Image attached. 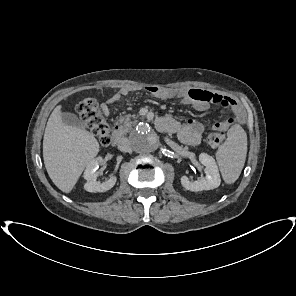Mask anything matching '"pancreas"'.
<instances>
[{
  "mask_svg": "<svg viewBox=\"0 0 296 296\" xmlns=\"http://www.w3.org/2000/svg\"><path fill=\"white\" fill-rule=\"evenodd\" d=\"M134 117L130 115L121 116L119 119L116 120V125L119 127V132L121 134H126L131 131L134 121H132Z\"/></svg>",
  "mask_w": 296,
  "mask_h": 296,
  "instance_id": "1",
  "label": "pancreas"
}]
</instances>
